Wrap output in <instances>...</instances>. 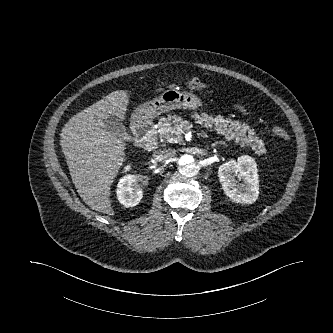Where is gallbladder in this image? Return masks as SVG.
Here are the masks:
<instances>
[{
  "label": "gallbladder",
  "mask_w": 333,
  "mask_h": 333,
  "mask_svg": "<svg viewBox=\"0 0 333 333\" xmlns=\"http://www.w3.org/2000/svg\"><path fill=\"white\" fill-rule=\"evenodd\" d=\"M97 120L102 124V128L105 131H109L121 139H126L128 137L125 126L115 117L101 115L98 116Z\"/></svg>",
  "instance_id": "gallbladder-1"
}]
</instances>
